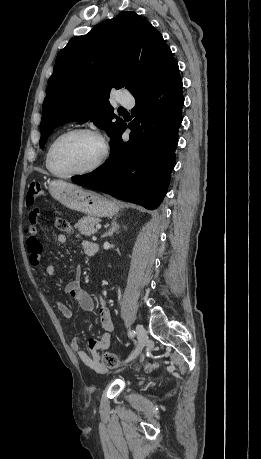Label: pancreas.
I'll return each instance as SVG.
<instances>
[{"instance_id":"1","label":"pancreas","mask_w":261,"mask_h":459,"mask_svg":"<svg viewBox=\"0 0 261 459\" xmlns=\"http://www.w3.org/2000/svg\"><path fill=\"white\" fill-rule=\"evenodd\" d=\"M100 219L92 216H86L80 219L75 228L79 230V232L84 236H92L97 232L95 225L99 224Z\"/></svg>"}]
</instances>
